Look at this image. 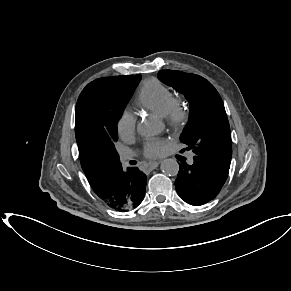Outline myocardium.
I'll list each match as a JSON object with an SVG mask.
<instances>
[{"label": "myocardium", "mask_w": 291, "mask_h": 291, "mask_svg": "<svg viewBox=\"0 0 291 291\" xmlns=\"http://www.w3.org/2000/svg\"><path fill=\"white\" fill-rule=\"evenodd\" d=\"M163 117L168 127L174 131H181L187 126L190 114L184 103L175 100L173 106Z\"/></svg>", "instance_id": "1"}]
</instances>
